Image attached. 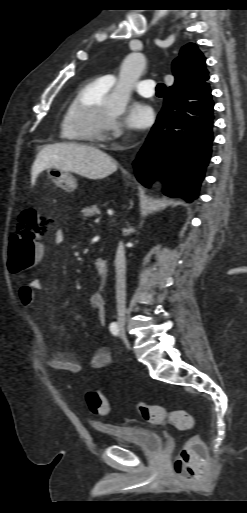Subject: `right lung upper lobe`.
<instances>
[{
    "label": "right lung upper lobe",
    "instance_id": "1",
    "mask_svg": "<svg viewBox=\"0 0 247 513\" xmlns=\"http://www.w3.org/2000/svg\"><path fill=\"white\" fill-rule=\"evenodd\" d=\"M205 57L194 43L182 47L179 57L172 63L175 83L167 90L192 92L206 85L209 79L205 68Z\"/></svg>",
    "mask_w": 247,
    "mask_h": 513
}]
</instances>
